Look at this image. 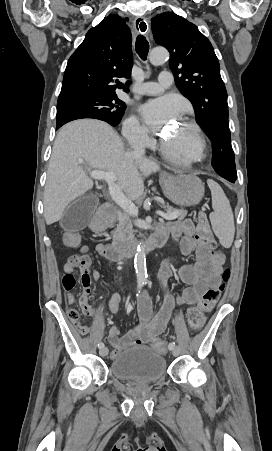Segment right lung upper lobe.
I'll return each mask as SVG.
<instances>
[{
  "instance_id": "obj_1",
  "label": "right lung upper lobe",
  "mask_w": 272,
  "mask_h": 451,
  "mask_svg": "<svg viewBox=\"0 0 272 451\" xmlns=\"http://www.w3.org/2000/svg\"><path fill=\"white\" fill-rule=\"evenodd\" d=\"M131 32L125 20L115 14L90 29L69 58L58 100L89 95H116L128 92L133 65Z\"/></svg>"
}]
</instances>
